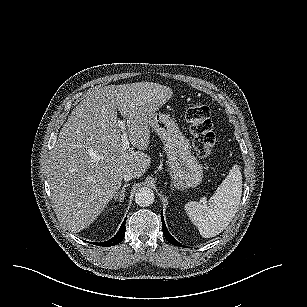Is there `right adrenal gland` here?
I'll return each instance as SVG.
<instances>
[{
  "mask_svg": "<svg viewBox=\"0 0 307 307\" xmlns=\"http://www.w3.org/2000/svg\"><path fill=\"white\" fill-rule=\"evenodd\" d=\"M130 184H124V186L122 187V189L119 190V192H117L113 197L114 199H117L118 196L120 197L119 200L120 202L124 200L125 198V193H126V187H129Z\"/></svg>",
  "mask_w": 307,
  "mask_h": 307,
  "instance_id": "2a0ac1e0",
  "label": "right adrenal gland"
}]
</instances>
